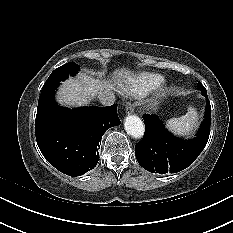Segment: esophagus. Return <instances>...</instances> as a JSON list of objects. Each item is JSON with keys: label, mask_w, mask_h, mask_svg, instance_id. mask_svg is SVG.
I'll list each match as a JSON object with an SVG mask.
<instances>
[{"label": "esophagus", "mask_w": 233, "mask_h": 233, "mask_svg": "<svg viewBox=\"0 0 233 233\" xmlns=\"http://www.w3.org/2000/svg\"><path fill=\"white\" fill-rule=\"evenodd\" d=\"M125 109H126V113H127V114H132V112H133V107H132V105H131L130 103H127V104H126Z\"/></svg>", "instance_id": "obj_1"}]
</instances>
